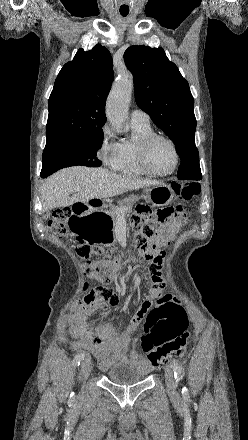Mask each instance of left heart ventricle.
<instances>
[{"mask_svg":"<svg viewBox=\"0 0 248 440\" xmlns=\"http://www.w3.org/2000/svg\"><path fill=\"white\" fill-rule=\"evenodd\" d=\"M175 157L171 146L163 141H156L149 153V163L153 170L157 172H167L174 164Z\"/></svg>","mask_w":248,"mask_h":440,"instance_id":"obj_1","label":"left heart ventricle"}]
</instances>
